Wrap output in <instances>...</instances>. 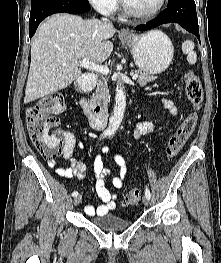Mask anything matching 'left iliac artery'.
Wrapping results in <instances>:
<instances>
[{
    "mask_svg": "<svg viewBox=\"0 0 221 263\" xmlns=\"http://www.w3.org/2000/svg\"><path fill=\"white\" fill-rule=\"evenodd\" d=\"M145 196L148 198V199H150L151 198V193H150V191H149V189L146 187V189H145Z\"/></svg>",
    "mask_w": 221,
    "mask_h": 263,
    "instance_id": "44dca946",
    "label": "left iliac artery"
}]
</instances>
